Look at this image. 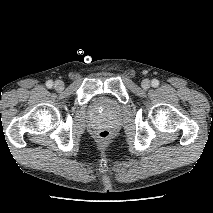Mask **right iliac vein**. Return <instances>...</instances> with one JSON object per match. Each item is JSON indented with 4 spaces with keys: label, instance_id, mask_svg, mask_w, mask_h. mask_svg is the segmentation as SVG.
I'll list each match as a JSON object with an SVG mask.
<instances>
[{
    "label": "right iliac vein",
    "instance_id": "obj_1",
    "mask_svg": "<svg viewBox=\"0 0 213 213\" xmlns=\"http://www.w3.org/2000/svg\"><path fill=\"white\" fill-rule=\"evenodd\" d=\"M54 88H55L57 91H62V90L64 89V82L61 81V80L55 81V83H54Z\"/></svg>",
    "mask_w": 213,
    "mask_h": 213
}]
</instances>
